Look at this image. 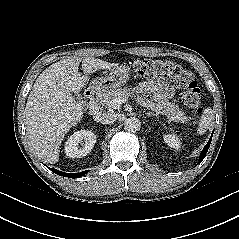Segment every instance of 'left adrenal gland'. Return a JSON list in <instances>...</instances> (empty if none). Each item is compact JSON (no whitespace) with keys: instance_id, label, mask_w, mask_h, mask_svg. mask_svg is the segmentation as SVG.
Wrapping results in <instances>:
<instances>
[{"instance_id":"a2214340","label":"left adrenal gland","mask_w":239,"mask_h":239,"mask_svg":"<svg viewBox=\"0 0 239 239\" xmlns=\"http://www.w3.org/2000/svg\"><path fill=\"white\" fill-rule=\"evenodd\" d=\"M146 115H147V117H152L153 116V117H156L157 119H159L158 114H154L152 112H147Z\"/></svg>"}]
</instances>
